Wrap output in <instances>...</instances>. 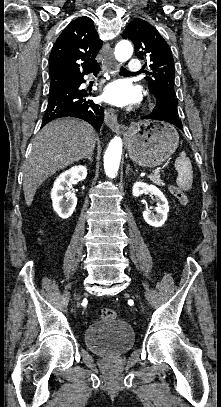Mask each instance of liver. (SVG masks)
<instances>
[{
    "label": "liver",
    "instance_id": "liver-1",
    "mask_svg": "<svg viewBox=\"0 0 221 407\" xmlns=\"http://www.w3.org/2000/svg\"><path fill=\"white\" fill-rule=\"evenodd\" d=\"M96 136L93 127L73 118L45 125L36 135L23 175L25 202L30 206L37 188L60 169L93 153Z\"/></svg>",
    "mask_w": 221,
    "mask_h": 407
}]
</instances>
